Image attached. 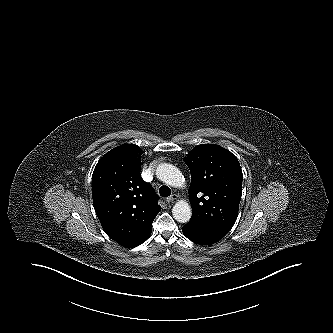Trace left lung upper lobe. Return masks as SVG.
<instances>
[{"label":"left lung upper lobe","instance_id":"5c2ea615","mask_svg":"<svg viewBox=\"0 0 333 333\" xmlns=\"http://www.w3.org/2000/svg\"><path fill=\"white\" fill-rule=\"evenodd\" d=\"M191 172L190 221L226 235L233 227L242 195V170L229 150L215 144L196 146L184 158Z\"/></svg>","mask_w":333,"mask_h":333}]
</instances>
